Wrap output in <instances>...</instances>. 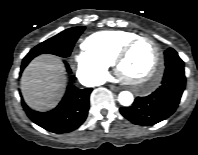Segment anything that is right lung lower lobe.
<instances>
[{
  "mask_svg": "<svg viewBox=\"0 0 198 155\" xmlns=\"http://www.w3.org/2000/svg\"><path fill=\"white\" fill-rule=\"evenodd\" d=\"M31 60L22 62L23 70ZM67 71L71 70L66 64ZM92 89L67 87L65 96L53 110L45 113L31 110L24 102L23 108L28 117L37 125L53 133H67L77 129L86 119L89 110V96Z\"/></svg>",
  "mask_w": 198,
  "mask_h": 155,
  "instance_id": "98d812e1",
  "label": "right lung lower lobe"
}]
</instances>
